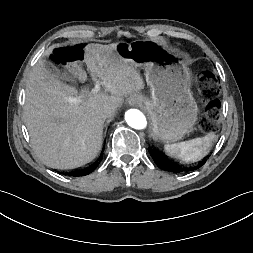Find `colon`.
<instances>
[{
	"instance_id": "1",
	"label": "colon",
	"mask_w": 253,
	"mask_h": 253,
	"mask_svg": "<svg viewBox=\"0 0 253 253\" xmlns=\"http://www.w3.org/2000/svg\"><path fill=\"white\" fill-rule=\"evenodd\" d=\"M83 46L80 44L55 49L53 58L57 63L66 64L77 62L83 59ZM198 90L206 101L204 115L200 119L199 127L205 132H212L216 129L219 119L220 106L217 101L219 85L210 72H203L197 78Z\"/></svg>"
}]
</instances>
